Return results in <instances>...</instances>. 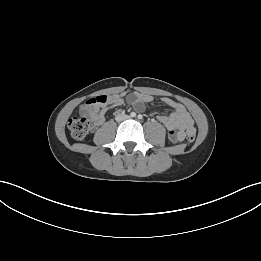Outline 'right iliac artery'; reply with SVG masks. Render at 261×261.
<instances>
[{
    "instance_id": "1",
    "label": "right iliac artery",
    "mask_w": 261,
    "mask_h": 261,
    "mask_svg": "<svg viewBox=\"0 0 261 261\" xmlns=\"http://www.w3.org/2000/svg\"><path fill=\"white\" fill-rule=\"evenodd\" d=\"M130 116H131V117H135V116H136V113H135V112H131V113H130Z\"/></svg>"
}]
</instances>
